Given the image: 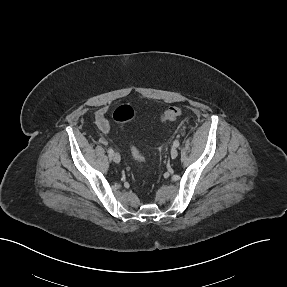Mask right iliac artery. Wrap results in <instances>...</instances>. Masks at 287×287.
<instances>
[{
  "label": "right iliac artery",
  "instance_id": "right-iliac-artery-1",
  "mask_svg": "<svg viewBox=\"0 0 287 287\" xmlns=\"http://www.w3.org/2000/svg\"><path fill=\"white\" fill-rule=\"evenodd\" d=\"M108 154H109L110 157H112L113 154H114V151H113L112 149H109V150H108Z\"/></svg>",
  "mask_w": 287,
  "mask_h": 287
}]
</instances>
